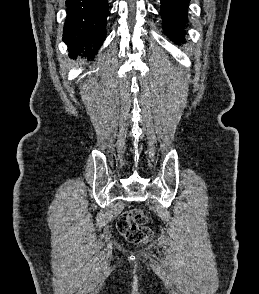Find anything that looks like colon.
I'll return each instance as SVG.
<instances>
[{
	"label": "colon",
	"instance_id": "obj_1",
	"mask_svg": "<svg viewBox=\"0 0 259 294\" xmlns=\"http://www.w3.org/2000/svg\"><path fill=\"white\" fill-rule=\"evenodd\" d=\"M148 218L139 209L124 213L117 222L118 231L131 243H147L152 238V230L146 226Z\"/></svg>",
	"mask_w": 259,
	"mask_h": 294
}]
</instances>
